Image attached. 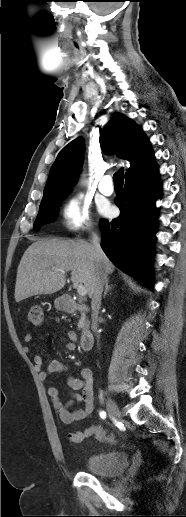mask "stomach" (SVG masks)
<instances>
[{"instance_id": "obj_1", "label": "stomach", "mask_w": 186, "mask_h": 517, "mask_svg": "<svg viewBox=\"0 0 186 517\" xmlns=\"http://www.w3.org/2000/svg\"><path fill=\"white\" fill-rule=\"evenodd\" d=\"M55 304H56L57 308H59V309L62 308V303H60V299H57Z\"/></svg>"}]
</instances>
